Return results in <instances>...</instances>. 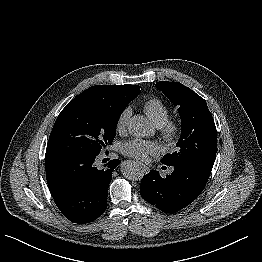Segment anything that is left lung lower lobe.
<instances>
[{"label":"left lung lower lobe","instance_id":"1","mask_svg":"<svg viewBox=\"0 0 262 262\" xmlns=\"http://www.w3.org/2000/svg\"><path fill=\"white\" fill-rule=\"evenodd\" d=\"M211 169L196 166L174 167L171 175L161 177L151 170L140 185L144 200L165 213H175L192 203L203 191Z\"/></svg>","mask_w":262,"mask_h":262}]
</instances>
